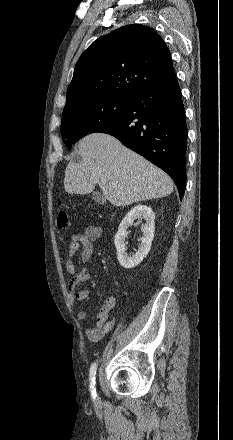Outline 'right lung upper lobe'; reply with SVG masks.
<instances>
[{"instance_id":"cb5924a9","label":"right lung upper lobe","mask_w":233,"mask_h":440,"mask_svg":"<svg viewBox=\"0 0 233 440\" xmlns=\"http://www.w3.org/2000/svg\"><path fill=\"white\" fill-rule=\"evenodd\" d=\"M173 73L160 35L150 27L127 25L98 38L80 56L65 107L90 98L130 99Z\"/></svg>"}]
</instances>
